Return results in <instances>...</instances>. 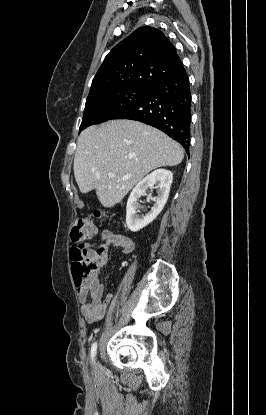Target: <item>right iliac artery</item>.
<instances>
[{
  "mask_svg": "<svg viewBox=\"0 0 266 415\" xmlns=\"http://www.w3.org/2000/svg\"><path fill=\"white\" fill-rule=\"evenodd\" d=\"M96 352H97V342L93 343V345L91 347V360H92V362L94 361Z\"/></svg>",
  "mask_w": 266,
  "mask_h": 415,
  "instance_id": "1",
  "label": "right iliac artery"
}]
</instances>
